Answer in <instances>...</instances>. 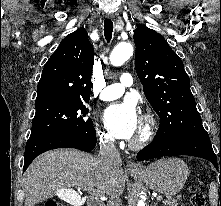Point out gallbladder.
Returning <instances> with one entry per match:
<instances>
[{
    "mask_svg": "<svg viewBox=\"0 0 221 206\" xmlns=\"http://www.w3.org/2000/svg\"><path fill=\"white\" fill-rule=\"evenodd\" d=\"M72 189H58L57 193L59 194V198H63V201L66 202L67 205L71 206H82L84 202V197H80V193H72Z\"/></svg>",
    "mask_w": 221,
    "mask_h": 206,
    "instance_id": "obj_1",
    "label": "gallbladder"
}]
</instances>
